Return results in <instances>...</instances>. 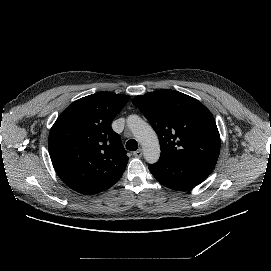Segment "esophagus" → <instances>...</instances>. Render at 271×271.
Masks as SVG:
<instances>
[{"label": "esophagus", "mask_w": 271, "mask_h": 271, "mask_svg": "<svg viewBox=\"0 0 271 271\" xmlns=\"http://www.w3.org/2000/svg\"><path fill=\"white\" fill-rule=\"evenodd\" d=\"M133 155H134L136 158H141L142 155H143V150L140 148V149L136 150L135 152H133Z\"/></svg>", "instance_id": "obj_1"}]
</instances>
